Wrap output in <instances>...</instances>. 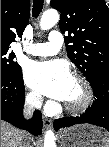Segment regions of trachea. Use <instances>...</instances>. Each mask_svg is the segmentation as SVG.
Listing matches in <instances>:
<instances>
[{
    "instance_id": "3493384b",
    "label": "trachea",
    "mask_w": 109,
    "mask_h": 147,
    "mask_svg": "<svg viewBox=\"0 0 109 147\" xmlns=\"http://www.w3.org/2000/svg\"><path fill=\"white\" fill-rule=\"evenodd\" d=\"M43 8V0H34L33 2V16L38 17Z\"/></svg>"
}]
</instances>
